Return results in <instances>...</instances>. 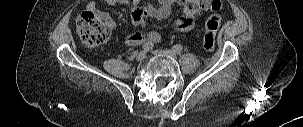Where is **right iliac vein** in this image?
<instances>
[{
    "label": "right iliac vein",
    "instance_id": "1",
    "mask_svg": "<svg viewBox=\"0 0 303 127\" xmlns=\"http://www.w3.org/2000/svg\"><path fill=\"white\" fill-rule=\"evenodd\" d=\"M145 58H146V53H145L144 51H141V52H139V53L136 55V60H137L138 62L144 61Z\"/></svg>",
    "mask_w": 303,
    "mask_h": 127
}]
</instances>
